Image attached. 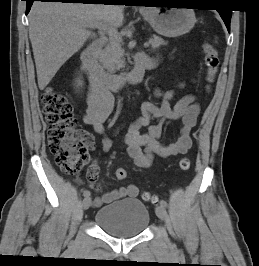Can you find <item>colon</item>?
Returning a JSON list of instances; mask_svg holds the SVG:
<instances>
[{
  "instance_id": "obj_1",
  "label": "colon",
  "mask_w": 259,
  "mask_h": 266,
  "mask_svg": "<svg viewBox=\"0 0 259 266\" xmlns=\"http://www.w3.org/2000/svg\"><path fill=\"white\" fill-rule=\"evenodd\" d=\"M202 49L207 70L206 80L211 84L219 67L218 53L209 43H203ZM209 88L210 85L207 86L208 90ZM41 103L48 126V144L56 163L67 174L79 172L88 162L87 146L91 144L92 137L77 127L72 105L64 95L52 88H47L41 96ZM190 165L188 158H182L179 161V167L182 170H188ZM115 176L118 180H124L127 172L123 168H118ZM143 199L153 204L158 202V197L148 192L143 193Z\"/></svg>"
}]
</instances>
